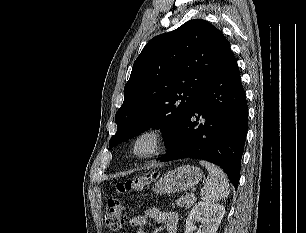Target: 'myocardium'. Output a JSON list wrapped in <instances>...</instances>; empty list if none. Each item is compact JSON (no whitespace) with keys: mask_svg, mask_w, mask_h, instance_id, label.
I'll return each mask as SVG.
<instances>
[{"mask_svg":"<svg viewBox=\"0 0 306 233\" xmlns=\"http://www.w3.org/2000/svg\"><path fill=\"white\" fill-rule=\"evenodd\" d=\"M143 138L151 140V146L146 151H138L136 146ZM168 144L166 129L158 124L147 125L133 134L128 144V152L135 158L144 159L154 157L163 152Z\"/></svg>","mask_w":306,"mask_h":233,"instance_id":"1","label":"myocardium"}]
</instances>
